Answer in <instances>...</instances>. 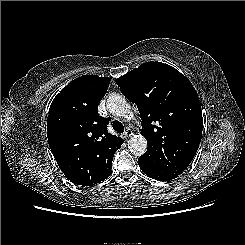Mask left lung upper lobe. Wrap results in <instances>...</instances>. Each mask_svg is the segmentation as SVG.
I'll return each mask as SVG.
<instances>
[{
  "label": "left lung upper lobe",
  "mask_w": 245,
  "mask_h": 245,
  "mask_svg": "<svg viewBox=\"0 0 245 245\" xmlns=\"http://www.w3.org/2000/svg\"><path fill=\"white\" fill-rule=\"evenodd\" d=\"M122 94L137 105L148 148L138 161L180 175L194 158L202 137L200 100L192 83L174 67L141 64L116 79Z\"/></svg>",
  "instance_id": "obj_1"
}]
</instances>
